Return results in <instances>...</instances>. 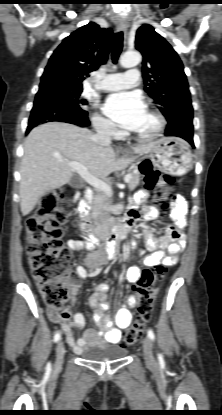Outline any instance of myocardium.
Returning <instances> with one entry per match:
<instances>
[{
  "instance_id": "myocardium-1",
  "label": "myocardium",
  "mask_w": 222,
  "mask_h": 415,
  "mask_svg": "<svg viewBox=\"0 0 222 415\" xmlns=\"http://www.w3.org/2000/svg\"><path fill=\"white\" fill-rule=\"evenodd\" d=\"M146 110L156 119V128L149 134H140L130 131V135L139 142H150L157 139L165 129L166 119L164 115L153 107H147Z\"/></svg>"
}]
</instances>
